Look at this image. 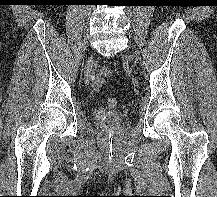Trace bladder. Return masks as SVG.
<instances>
[{"instance_id":"obj_1","label":"bladder","mask_w":217,"mask_h":197,"mask_svg":"<svg viewBox=\"0 0 217 197\" xmlns=\"http://www.w3.org/2000/svg\"><path fill=\"white\" fill-rule=\"evenodd\" d=\"M94 117L96 120L103 123L104 126L118 127L122 123V116L119 112L108 110V109H97L94 113Z\"/></svg>"}]
</instances>
